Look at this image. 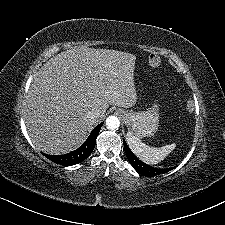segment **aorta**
Returning <instances> with one entry per match:
<instances>
[{
	"instance_id": "obj_1",
	"label": "aorta",
	"mask_w": 225,
	"mask_h": 225,
	"mask_svg": "<svg viewBox=\"0 0 225 225\" xmlns=\"http://www.w3.org/2000/svg\"><path fill=\"white\" fill-rule=\"evenodd\" d=\"M106 126L110 130L118 129L120 126V121L117 117L115 116H109L106 119Z\"/></svg>"
}]
</instances>
